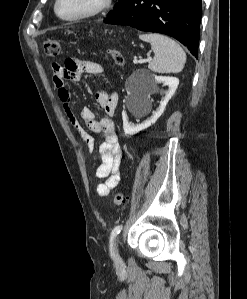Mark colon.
Masks as SVG:
<instances>
[{
    "mask_svg": "<svg viewBox=\"0 0 247 299\" xmlns=\"http://www.w3.org/2000/svg\"><path fill=\"white\" fill-rule=\"evenodd\" d=\"M44 52L49 57H57L60 53V44L55 39H48L44 42ZM109 55L113 59L114 63L118 66L123 64L122 55L116 50H110ZM128 202V197H126L122 192H117L113 197V203L116 206L125 205Z\"/></svg>",
    "mask_w": 247,
    "mask_h": 299,
    "instance_id": "obj_1",
    "label": "colon"
}]
</instances>
